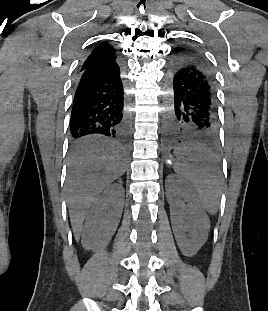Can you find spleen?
Here are the masks:
<instances>
[{
	"instance_id": "3e777b00",
	"label": "spleen",
	"mask_w": 268,
	"mask_h": 311,
	"mask_svg": "<svg viewBox=\"0 0 268 311\" xmlns=\"http://www.w3.org/2000/svg\"><path fill=\"white\" fill-rule=\"evenodd\" d=\"M177 162L174 170L189 180L198 192L201 205L210 214H216L219 208L220 183L222 170L214 148H205L203 144L182 146L175 150Z\"/></svg>"
}]
</instances>
